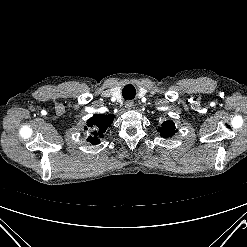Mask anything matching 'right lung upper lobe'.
I'll return each instance as SVG.
<instances>
[{
  "instance_id": "right-lung-upper-lobe-1",
  "label": "right lung upper lobe",
  "mask_w": 247,
  "mask_h": 247,
  "mask_svg": "<svg viewBox=\"0 0 247 247\" xmlns=\"http://www.w3.org/2000/svg\"><path fill=\"white\" fill-rule=\"evenodd\" d=\"M114 119L113 115H95L87 121V127L93 130V136H89L87 141L93 145L100 143V138L104 137L105 130L110 127Z\"/></svg>"
}]
</instances>
